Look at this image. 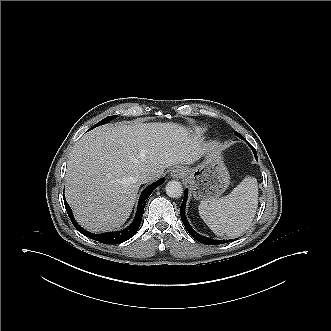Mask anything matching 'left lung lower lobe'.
Returning <instances> with one entry per match:
<instances>
[{"instance_id": "obj_1", "label": "left lung lower lobe", "mask_w": 331, "mask_h": 331, "mask_svg": "<svg viewBox=\"0 0 331 331\" xmlns=\"http://www.w3.org/2000/svg\"><path fill=\"white\" fill-rule=\"evenodd\" d=\"M236 135L239 138L245 140L239 133L236 132ZM249 146L252 147L250 144H249ZM252 150L254 151L255 156H257L256 151H255V149L253 147H252ZM187 194H188L187 193V190H185L184 191V199H183L182 205L180 207V215H181L182 222H183L184 226L186 227L187 231L189 232V234L194 239H196L197 241H199V242H201L203 244H206V245H217V244L226 243V241H224V240H214V239H210L208 237L202 236V235L198 234L196 231H194L192 229V227L189 225V223H188V221L186 219V216H185V204H186V201H187Z\"/></svg>"}]
</instances>
